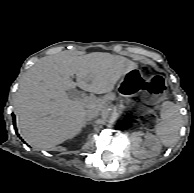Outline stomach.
Here are the masks:
<instances>
[{
    "instance_id": "stomach-1",
    "label": "stomach",
    "mask_w": 194,
    "mask_h": 193,
    "mask_svg": "<svg viewBox=\"0 0 194 193\" xmlns=\"http://www.w3.org/2000/svg\"><path fill=\"white\" fill-rule=\"evenodd\" d=\"M118 87L129 96L142 94L152 104L161 102L167 95V82L163 76L145 78L138 69L126 73Z\"/></svg>"
}]
</instances>
